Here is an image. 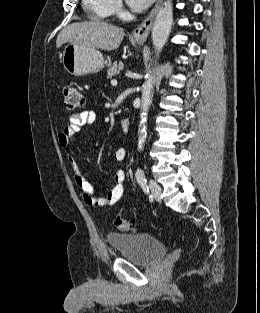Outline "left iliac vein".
<instances>
[{
	"label": "left iliac vein",
	"instance_id": "obj_1",
	"mask_svg": "<svg viewBox=\"0 0 260 313\" xmlns=\"http://www.w3.org/2000/svg\"><path fill=\"white\" fill-rule=\"evenodd\" d=\"M149 186H150V190H151L153 198L156 200H160L161 187L153 180H150Z\"/></svg>",
	"mask_w": 260,
	"mask_h": 313
}]
</instances>
